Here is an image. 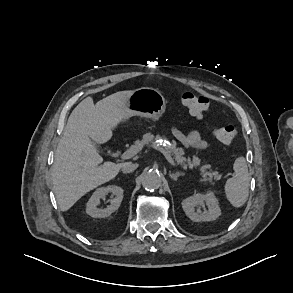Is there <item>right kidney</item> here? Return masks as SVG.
Returning <instances> with one entry per match:
<instances>
[{
    "label": "right kidney",
    "mask_w": 293,
    "mask_h": 293,
    "mask_svg": "<svg viewBox=\"0 0 293 293\" xmlns=\"http://www.w3.org/2000/svg\"><path fill=\"white\" fill-rule=\"evenodd\" d=\"M108 193H112L114 196V198L111 200V204L104 209L98 208L100 199L105 197ZM122 199L123 189L121 187L111 185L98 188L89 199L86 212L88 215L95 218L108 217L119 208Z\"/></svg>",
    "instance_id": "ca27d5eb"
}]
</instances>
